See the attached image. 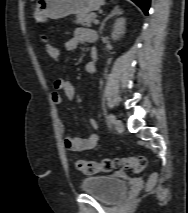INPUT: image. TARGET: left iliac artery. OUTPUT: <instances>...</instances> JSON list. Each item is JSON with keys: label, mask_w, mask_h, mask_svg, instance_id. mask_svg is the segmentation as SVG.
Returning <instances> with one entry per match:
<instances>
[{"label": "left iliac artery", "mask_w": 188, "mask_h": 213, "mask_svg": "<svg viewBox=\"0 0 188 213\" xmlns=\"http://www.w3.org/2000/svg\"><path fill=\"white\" fill-rule=\"evenodd\" d=\"M108 119L111 124L115 123L116 118L113 114H109Z\"/></svg>", "instance_id": "obj_1"}]
</instances>
